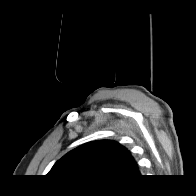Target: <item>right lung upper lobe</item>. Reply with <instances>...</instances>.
<instances>
[{"mask_svg": "<svg viewBox=\"0 0 196 196\" xmlns=\"http://www.w3.org/2000/svg\"><path fill=\"white\" fill-rule=\"evenodd\" d=\"M129 151L117 142L97 140L70 151L58 160L48 176L89 184H115L139 177Z\"/></svg>", "mask_w": 196, "mask_h": 196, "instance_id": "1", "label": "right lung upper lobe"}]
</instances>
